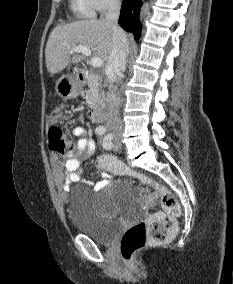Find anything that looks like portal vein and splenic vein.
I'll return each instance as SVG.
<instances>
[{
  "mask_svg": "<svg viewBox=\"0 0 233 284\" xmlns=\"http://www.w3.org/2000/svg\"><path fill=\"white\" fill-rule=\"evenodd\" d=\"M70 53H83L86 56H91V50L84 45H78L71 48ZM91 65L95 68L101 67L103 65V60L99 57H94L91 59Z\"/></svg>",
  "mask_w": 233,
  "mask_h": 284,
  "instance_id": "18ae733b",
  "label": "portal vein and splenic vein"
}]
</instances>
